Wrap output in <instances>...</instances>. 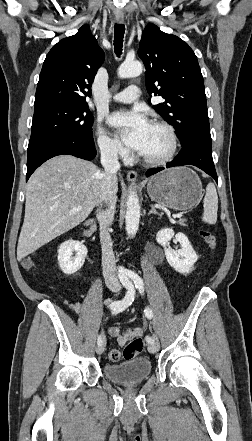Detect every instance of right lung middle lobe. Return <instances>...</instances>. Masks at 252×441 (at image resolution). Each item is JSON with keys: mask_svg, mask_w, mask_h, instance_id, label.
Masks as SVG:
<instances>
[{"mask_svg": "<svg viewBox=\"0 0 252 441\" xmlns=\"http://www.w3.org/2000/svg\"><path fill=\"white\" fill-rule=\"evenodd\" d=\"M93 115L87 104L49 102L34 107L29 142L55 136L92 138Z\"/></svg>", "mask_w": 252, "mask_h": 441, "instance_id": "obj_1", "label": "right lung middle lobe"}]
</instances>
